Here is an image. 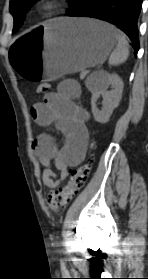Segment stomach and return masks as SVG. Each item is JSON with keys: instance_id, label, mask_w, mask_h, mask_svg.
<instances>
[{"instance_id": "obj_1", "label": "stomach", "mask_w": 148, "mask_h": 279, "mask_svg": "<svg viewBox=\"0 0 148 279\" xmlns=\"http://www.w3.org/2000/svg\"><path fill=\"white\" fill-rule=\"evenodd\" d=\"M114 26L85 18H57L16 38L9 61L18 82L56 79L102 64L117 42Z\"/></svg>"}]
</instances>
